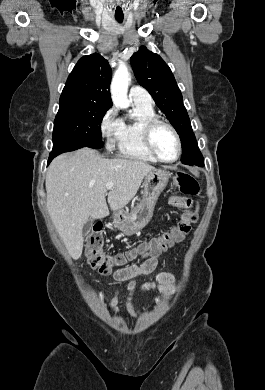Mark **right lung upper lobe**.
I'll return each instance as SVG.
<instances>
[{
	"label": "right lung upper lobe",
	"mask_w": 265,
	"mask_h": 390,
	"mask_svg": "<svg viewBox=\"0 0 265 390\" xmlns=\"http://www.w3.org/2000/svg\"><path fill=\"white\" fill-rule=\"evenodd\" d=\"M111 77V67L100 54L82 57L66 81L60 103L83 102L110 108Z\"/></svg>",
	"instance_id": "obj_1"
}]
</instances>
